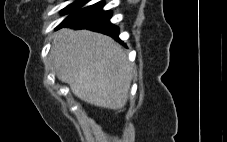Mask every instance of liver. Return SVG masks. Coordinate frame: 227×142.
I'll return each mask as SVG.
<instances>
[{
	"mask_svg": "<svg viewBox=\"0 0 227 142\" xmlns=\"http://www.w3.org/2000/svg\"><path fill=\"white\" fill-rule=\"evenodd\" d=\"M50 53L57 78L75 96L103 108H124L134 71L112 38L88 30L61 29L53 37Z\"/></svg>",
	"mask_w": 227,
	"mask_h": 142,
	"instance_id": "liver-1",
	"label": "liver"
}]
</instances>
